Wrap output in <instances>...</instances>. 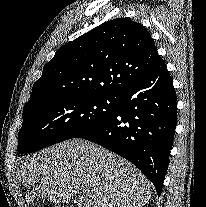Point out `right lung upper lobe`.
<instances>
[{"mask_svg": "<svg viewBox=\"0 0 206 207\" xmlns=\"http://www.w3.org/2000/svg\"><path fill=\"white\" fill-rule=\"evenodd\" d=\"M159 59L143 25L128 18L107 21L56 52L24 110L55 99L118 95Z\"/></svg>", "mask_w": 206, "mask_h": 207, "instance_id": "right-lung-upper-lobe-1", "label": "right lung upper lobe"}]
</instances>
